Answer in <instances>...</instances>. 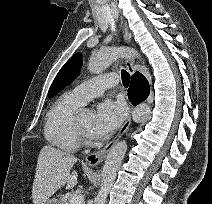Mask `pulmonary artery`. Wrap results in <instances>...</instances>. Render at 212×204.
I'll return each instance as SVG.
<instances>
[{
  "label": "pulmonary artery",
  "mask_w": 212,
  "mask_h": 204,
  "mask_svg": "<svg viewBox=\"0 0 212 204\" xmlns=\"http://www.w3.org/2000/svg\"><path fill=\"white\" fill-rule=\"evenodd\" d=\"M117 83L118 79L114 74L97 76L79 84L70 93L80 103L85 104L91 99L102 95Z\"/></svg>",
  "instance_id": "pulmonary-artery-1"
}]
</instances>
